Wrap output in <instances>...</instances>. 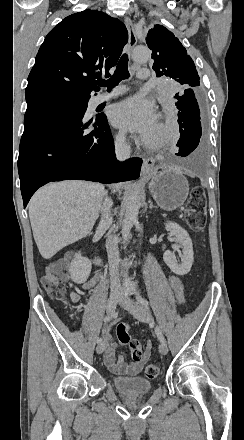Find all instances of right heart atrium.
<instances>
[{"mask_svg":"<svg viewBox=\"0 0 244 440\" xmlns=\"http://www.w3.org/2000/svg\"><path fill=\"white\" fill-rule=\"evenodd\" d=\"M145 138H146V139H149L150 136L146 135ZM124 140H125V134H124V132L119 131V132L116 134V141H117V143H122V142H124Z\"/></svg>","mask_w":244,"mask_h":440,"instance_id":"d8ad5b80","label":"right heart atrium"}]
</instances>
